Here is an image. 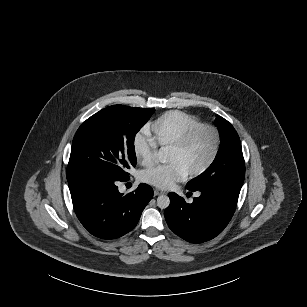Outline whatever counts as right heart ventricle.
<instances>
[{"label": "right heart ventricle", "instance_id": "e07e8e85", "mask_svg": "<svg viewBox=\"0 0 307 307\" xmlns=\"http://www.w3.org/2000/svg\"><path fill=\"white\" fill-rule=\"evenodd\" d=\"M199 126L200 123L190 115L180 111H169L153 123L152 133L146 134V137L158 148L164 149L196 130Z\"/></svg>", "mask_w": 307, "mask_h": 307}]
</instances>
